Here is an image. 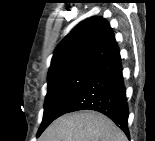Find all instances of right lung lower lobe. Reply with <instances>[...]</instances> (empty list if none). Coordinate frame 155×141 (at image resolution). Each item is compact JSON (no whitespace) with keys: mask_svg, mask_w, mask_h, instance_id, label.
I'll return each instance as SVG.
<instances>
[{"mask_svg":"<svg viewBox=\"0 0 155 141\" xmlns=\"http://www.w3.org/2000/svg\"><path fill=\"white\" fill-rule=\"evenodd\" d=\"M84 109L108 116L129 138L128 104L118 47L94 70L63 106L59 115Z\"/></svg>","mask_w":155,"mask_h":141,"instance_id":"98d812e1","label":"right lung lower lobe"}]
</instances>
